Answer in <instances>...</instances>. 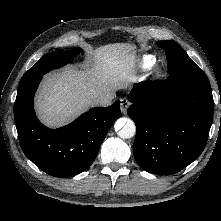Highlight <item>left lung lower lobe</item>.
<instances>
[{
	"label": "left lung lower lobe",
	"instance_id": "1",
	"mask_svg": "<svg viewBox=\"0 0 221 221\" xmlns=\"http://www.w3.org/2000/svg\"><path fill=\"white\" fill-rule=\"evenodd\" d=\"M128 116L135 122L136 162L153 174L171 175L204 150L213 120L211 86L202 71L143 81L131 90Z\"/></svg>",
	"mask_w": 221,
	"mask_h": 221
}]
</instances>
